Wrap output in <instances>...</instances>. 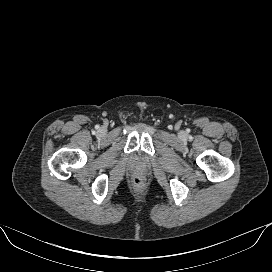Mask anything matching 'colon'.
<instances>
[{
	"mask_svg": "<svg viewBox=\"0 0 272 272\" xmlns=\"http://www.w3.org/2000/svg\"><path fill=\"white\" fill-rule=\"evenodd\" d=\"M133 183L135 186L140 187L143 184V179L141 177L137 176L133 179Z\"/></svg>",
	"mask_w": 272,
	"mask_h": 272,
	"instance_id": "5ec220e1",
	"label": "colon"
}]
</instances>
